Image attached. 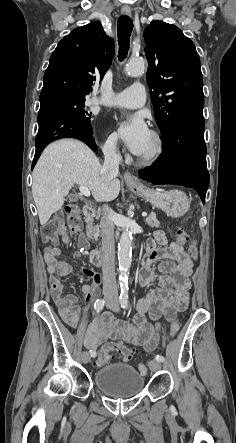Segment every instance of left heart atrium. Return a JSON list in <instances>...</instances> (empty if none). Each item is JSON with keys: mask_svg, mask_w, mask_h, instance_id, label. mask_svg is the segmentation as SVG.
<instances>
[{"mask_svg": "<svg viewBox=\"0 0 236 443\" xmlns=\"http://www.w3.org/2000/svg\"><path fill=\"white\" fill-rule=\"evenodd\" d=\"M118 136L135 154H141L150 136L144 116L140 113L115 120Z\"/></svg>", "mask_w": 236, "mask_h": 443, "instance_id": "39dd6f15", "label": "left heart atrium"}]
</instances>
